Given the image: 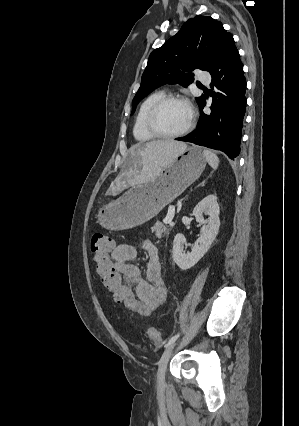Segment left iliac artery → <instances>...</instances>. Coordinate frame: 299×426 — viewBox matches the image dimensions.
<instances>
[{
  "label": "left iliac artery",
  "instance_id": "44dca946",
  "mask_svg": "<svg viewBox=\"0 0 299 426\" xmlns=\"http://www.w3.org/2000/svg\"><path fill=\"white\" fill-rule=\"evenodd\" d=\"M179 333L178 334H176V335H174V336H172L169 340H168V342L165 344V348H167V347H169L172 343H174L176 340H177V338L179 337Z\"/></svg>",
  "mask_w": 299,
  "mask_h": 426
}]
</instances>
